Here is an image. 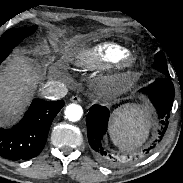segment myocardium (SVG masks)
Segmentation results:
<instances>
[{"label":"myocardium","mask_w":183,"mask_h":183,"mask_svg":"<svg viewBox=\"0 0 183 183\" xmlns=\"http://www.w3.org/2000/svg\"><path fill=\"white\" fill-rule=\"evenodd\" d=\"M138 65V59L135 55L128 53L117 59L113 66L115 77H120L133 72Z\"/></svg>","instance_id":"myocardium-1"}]
</instances>
